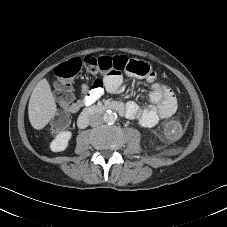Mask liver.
I'll use <instances>...</instances> for the list:
<instances>
[{"label":"liver","instance_id":"6515ba94","mask_svg":"<svg viewBox=\"0 0 227 227\" xmlns=\"http://www.w3.org/2000/svg\"><path fill=\"white\" fill-rule=\"evenodd\" d=\"M57 105L46 78L34 88L28 105L29 121L34 129L44 128L55 116Z\"/></svg>","mask_w":227,"mask_h":227}]
</instances>
